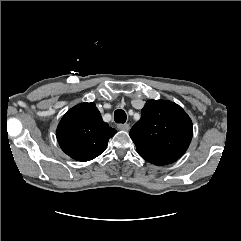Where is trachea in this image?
Returning a JSON list of instances; mask_svg holds the SVG:
<instances>
[{
	"label": "trachea",
	"instance_id": "3493384b",
	"mask_svg": "<svg viewBox=\"0 0 241 241\" xmlns=\"http://www.w3.org/2000/svg\"><path fill=\"white\" fill-rule=\"evenodd\" d=\"M127 119L126 113L124 110L122 109H117L114 112V120L116 123H125Z\"/></svg>",
	"mask_w": 241,
	"mask_h": 241
}]
</instances>
